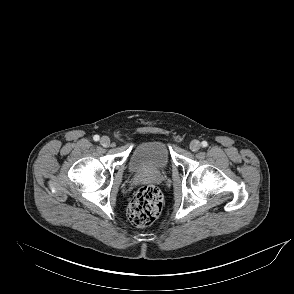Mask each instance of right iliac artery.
Here are the masks:
<instances>
[{"instance_id":"obj_1","label":"right iliac artery","mask_w":294,"mask_h":294,"mask_svg":"<svg viewBox=\"0 0 294 294\" xmlns=\"http://www.w3.org/2000/svg\"><path fill=\"white\" fill-rule=\"evenodd\" d=\"M94 141H98L100 139L99 135H94L93 137Z\"/></svg>"}]
</instances>
